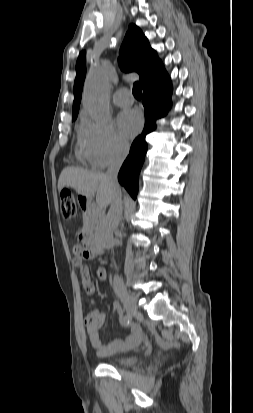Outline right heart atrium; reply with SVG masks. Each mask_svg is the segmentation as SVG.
<instances>
[{
  "mask_svg": "<svg viewBox=\"0 0 253 413\" xmlns=\"http://www.w3.org/2000/svg\"><path fill=\"white\" fill-rule=\"evenodd\" d=\"M80 140L88 162L95 168L107 167L128 151V143L110 122L86 121Z\"/></svg>",
  "mask_w": 253,
  "mask_h": 413,
  "instance_id": "right-heart-atrium-1",
  "label": "right heart atrium"
}]
</instances>
